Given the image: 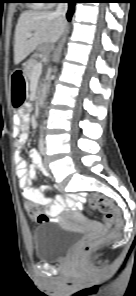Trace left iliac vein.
Here are the masks:
<instances>
[{
    "instance_id": "4c4485c4",
    "label": "left iliac vein",
    "mask_w": 136,
    "mask_h": 296,
    "mask_svg": "<svg viewBox=\"0 0 136 296\" xmlns=\"http://www.w3.org/2000/svg\"><path fill=\"white\" fill-rule=\"evenodd\" d=\"M44 165H45V167L48 169V161H47V158H46V156H45V158H44Z\"/></svg>"
}]
</instances>
